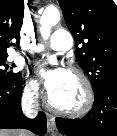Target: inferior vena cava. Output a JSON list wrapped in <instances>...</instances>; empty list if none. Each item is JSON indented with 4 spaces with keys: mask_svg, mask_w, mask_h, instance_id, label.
I'll return each instance as SVG.
<instances>
[{
    "mask_svg": "<svg viewBox=\"0 0 117 136\" xmlns=\"http://www.w3.org/2000/svg\"><path fill=\"white\" fill-rule=\"evenodd\" d=\"M37 95L31 97L28 101L22 102V109L25 115L29 118H34L38 113V104L35 100Z\"/></svg>",
    "mask_w": 117,
    "mask_h": 136,
    "instance_id": "inferior-vena-cava-1",
    "label": "inferior vena cava"
}]
</instances>
